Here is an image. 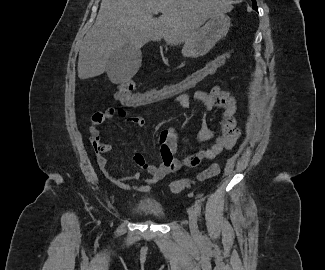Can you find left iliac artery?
<instances>
[{"instance_id": "44dca946", "label": "left iliac artery", "mask_w": 325, "mask_h": 270, "mask_svg": "<svg viewBox=\"0 0 325 270\" xmlns=\"http://www.w3.org/2000/svg\"><path fill=\"white\" fill-rule=\"evenodd\" d=\"M195 210H196L197 214L200 215V213H201V202H200V200L195 201Z\"/></svg>"}]
</instances>
